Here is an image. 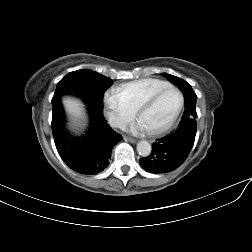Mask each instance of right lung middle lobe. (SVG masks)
Returning a JSON list of instances; mask_svg holds the SVG:
<instances>
[{"mask_svg": "<svg viewBox=\"0 0 252 252\" xmlns=\"http://www.w3.org/2000/svg\"><path fill=\"white\" fill-rule=\"evenodd\" d=\"M111 84L110 78L92 70L70 72L58 82L52 106L60 103L62 95L72 94L82 98L88 106L102 109L103 94Z\"/></svg>", "mask_w": 252, "mask_h": 252, "instance_id": "obj_1", "label": "right lung middle lobe"}]
</instances>
